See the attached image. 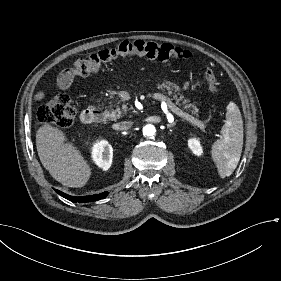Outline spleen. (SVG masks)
<instances>
[{"instance_id": "obj_1", "label": "spleen", "mask_w": 281, "mask_h": 281, "mask_svg": "<svg viewBox=\"0 0 281 281\" xmlns=\"http://www.w3.org/2000/svg\"><path fill=\"white\" fill-rule=\"evenodd\" d=\"M222 137L212 146V158L221 178L230 176L236 169L243 148V120L238 106L229 102Z\"/></svg>"}]
</instances>
